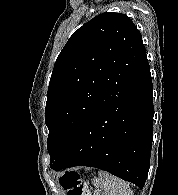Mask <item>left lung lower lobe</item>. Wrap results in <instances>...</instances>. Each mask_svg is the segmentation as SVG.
Returning <instances> with one entry per match:
<instances>
[{"label": "left lung lower lobe", "instance_id": "left-lung-lower-lobe-1", "mask_svg": "<svg viewBox=\"0 0 178 195\" xmlns=\"http://www.w3.org/2000/svg\"><path fill=\"white\" fill-rule=\"evenodd\" d=\"M153 85L146 60L89 118L52 169L96 167L143 188L153 139Z\"/></svg>", "mask_w": 178, "mask_h": 195}]
</instances>
